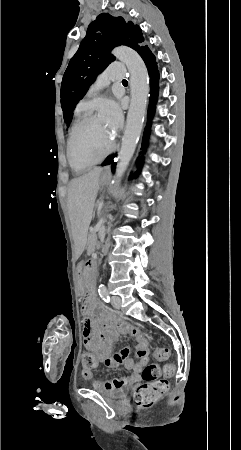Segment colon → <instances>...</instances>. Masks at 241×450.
<instances>
[{
    "label": "colon",
    "instance_id": "1",
    "mask_svg": "<svg viewBox=\"0 0 241 450\" xmlns=\"http://www.w3.org/2000/svg\"><path fill=\"white\" fill-rule=\"evenodd\" d=\"M169 351L166 348L156 347L153 350V356L157 360H165L168 358ZM81 359H84L83 369L92 371L94 366H98V357H92L90 350H81ZM159 368L156 364H149L144 367L142 377L147 382H154L158 378ZM165 374L172 376L174 374V366L171 363L166 364ZM168 388L166 381H157L151 384H145L138 387L134 393V404L136 409H151L162 396V393Z\"/></svg>",
    "mask_w": 241,
    "mask_h": 450
}]
</instances>
